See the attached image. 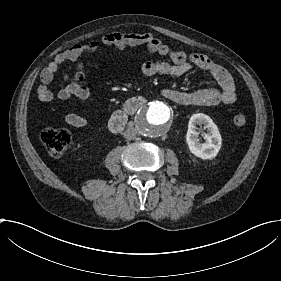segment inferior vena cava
Here are the masks:
<instances>
[{"label": "inferior vena cava", "mask_w": 281, "mask_h": 281, "mask_svg": "<svg viewBox=\"0 0 281 281\" xmlns=\"http://www.w3.org/2000/svg\"><path fill=\"white\" fill-rule=\"evenodd\" d=\"M136 135H137V129L136 128H128L124 132L125 138L129 139V140H132V139L136 138Z\"/></svg>", "instance_id": "602c4592"}]
</instances>
